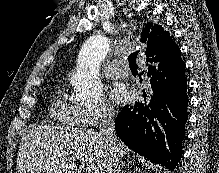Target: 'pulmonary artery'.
I'll list each match as a JSON object with an SVG mask.
<instances>
[{
	"instance_id": "e3ab8cb5",
	"label": "pulmonary artery",
	"mask_w": 219,
	"mask_h": 173,
	"mask_svg": "<svg viewBox=\"0 0 219 173\" xmlns=\"http://www.w3.org/2000/svg\"><path fill=\"white\" fill-rule=\"evenodd\" d=\"M121 61L116 60L105 67L104 74L108 78L121 79L127 76L128 69L121 66Z\"/></svg>"
}]
</instances>
